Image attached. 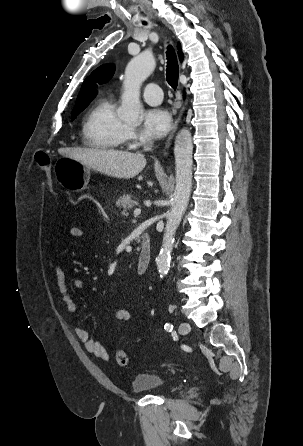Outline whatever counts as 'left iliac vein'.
<instances>
[{
  "label": "left iliac vein",
  "mask_w": 303,
  "mask_h": 446,
  "mask_svg": "<svg viewBox=\"0 0 303 446\" xmlns=\"http://www.w3.org/2000/svg\"><path fill=\"white\" fill-rule=\"evenodd\" d=\"M190 329H191L190 324L187 322L180 323L179 328H178L179 333L182 335L188 334L190 332Z\"/></svg>",
  "instance_id": "4c4485c4"
}]
</instances>
